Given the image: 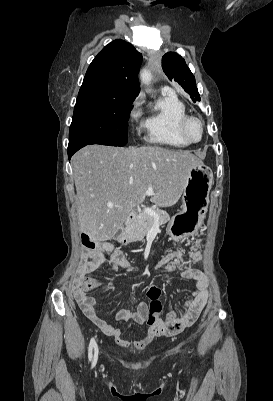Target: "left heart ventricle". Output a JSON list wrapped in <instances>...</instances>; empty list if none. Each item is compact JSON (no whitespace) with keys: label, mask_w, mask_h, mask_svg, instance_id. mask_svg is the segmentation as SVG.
<instances>
[{"label":"left heart ventricle","mask_w":273,"mask_h":401,"mask_svg":"<svg viewBox=\"0 0 273 401\" xmlns=\"http://www.w3.org/2000/svg\"><path fill=\"white\" fill-rule=\"evenodd\" d=\"M187 136L194 141H197L202 136V129L197 121H192L187 128Z\"/></svg>","instance_id":"left-heart-ventricle-1"}]
</instances>
